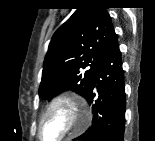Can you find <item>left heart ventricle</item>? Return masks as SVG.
Returning <instances> with one entry per match:
<instances>
[{
    "instance_id": "obj_1",
    "label": "left heart ventricle",
    "mask_w": 155,
    "mask_h": 141,
    "mask_svg": "<svg viewBox=\"0 0 155 141\" xmlns=\"http://www.w3.org/2000/svg\"><path fill=\"white\" fill-rule=\"evenodd\" d=\"M69 127L68 116L64 107H57L45 119L42 136L47 141L57 139Z\"/></svg>"
}]
</instances>
